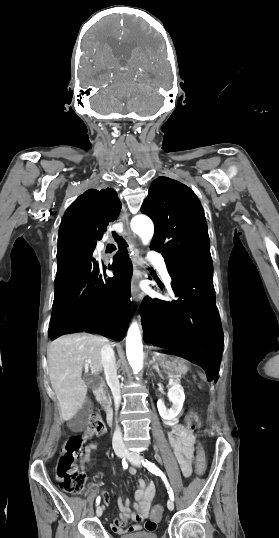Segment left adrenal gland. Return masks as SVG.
<instances>
[{"label":"left adrenal gland","instance_id":"obj_1","mask_svg":"<svg viewBox=\"0 0 279 538\" xmlns=\"http://www.w3.org/2000/svg\"><path fill=\"white\" fill-rule=\"evenodd\" d=\"M153 364H154V362H153ZM153 370H156V372H158L160 378H162V374H161V372H160V370L158 368V364H156V362H155V364L153 366Z\"/></svg>","mask_w":279,"mask_h":538}]
</instances>
